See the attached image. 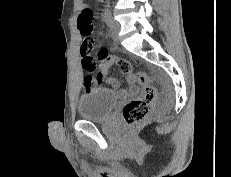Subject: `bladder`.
<instances>
[{
  "mask_svg": "<svg viewBox=\"0 0 231 177\" xmlns=\"http://www.w3.org/2000/svg\"><path fill=\"white\" fill-rule=\"evenodd\" d=\"M118 101L117 94L107 88H95L83 93L77 105L78 116L86 121L107 119Z\"/></svg>",
  "mask_w": 231,
  "mask_h": 177,
  "instance_id": "bladder-1",
  "label": "bladder"
}]
</instances>
